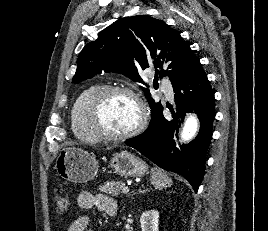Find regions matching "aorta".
Segmentation results:
<instances>
[{
  "mask_svg": "<svg viewBox=\"0 0 268 231\" xmlns=\"http://www.w3.org/2000/svg\"><path fill=\"white\" fill-rule=\"evenodd\" d=\"M198 132V120L194 115H188L181 131V139L189 141L193 139Z\"/></svg>",
  "mask_w": 268,
  "mask_h": 231,
  "instance_id": "1",
  "label": "aorta"
}]
</instances>
